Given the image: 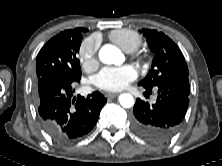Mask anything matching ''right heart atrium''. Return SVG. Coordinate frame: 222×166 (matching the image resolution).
I'll return each instance as SVG.
<instances>
[{"instance_id": "d8ad5b80", "label": "right heart atrium", "mask_w": 222, "mask_h": 166, "mask_svg": "<svg viewBox=\"0 0 222 166\" xmlns=\"http://www.w3.org/2000/svg\"><path fill=\"white\" fill-rule=\"evenodd\" d=\"M98 51V42L95 38H89L83 41L79 48L78 58L82 67L91 70L96 67Z\"/></svg>"}]
</instances>
